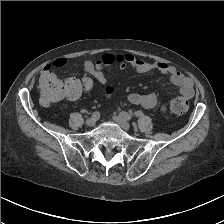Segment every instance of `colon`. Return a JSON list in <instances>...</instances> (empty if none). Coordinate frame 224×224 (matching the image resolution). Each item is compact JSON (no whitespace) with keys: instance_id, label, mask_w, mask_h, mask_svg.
I'll return each mask as SVG.
<instances>
[{"instance_id":"1","label":"colon","mask_w":224,"mask_h":224,"mask_svg":"<svg viewBox=\"0 0 224 224\" xmlns=\"http://www.w3.org/2000/svg\"><path fill=\"white\" fill-rule=\"evenodd\" d=\"M90 87L91 82L89 80L77 79L60 82L56 78H47L40 83L41 95L48 103L59 101L65 97L76 99ZM106 92L110 94L112 89L107 88ZM188 109L189 102L184 96H176L170 101V110L173 114L181 115L186 113Z\"/></svg>"}]
</instances>
